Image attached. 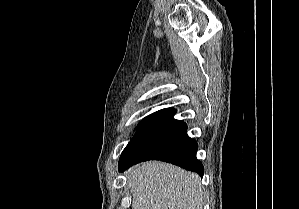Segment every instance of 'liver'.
<instances>
[{
    "mask_svg": "<svg viewBox=\"0 0 299 209\" xmlns=\"http://www.w3.org/2000/svg\"><path fill=\"white\" fill-rule=\"evenodd\" d=\"M132 209H202L200 178L158 161L141 163L127 173Z\"/></svg>",
    "mask_w": 299,
    "mask_h": 209,
    "instance_id": "obj_1",
    "label": "liver"
}]
</instances>
